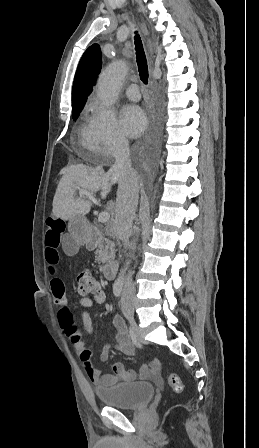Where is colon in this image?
Segmentation results:
<instances>
[{"label": "colon", "instance_id": "obj_1", "mask_svg": "<svg viewBox=\"0 0 259 448\" xmlns=\"http://www.w3.org/2000/svg\"><path fill=\"white\" fill-rule=\"evenodd\" d=\"M77 282L78 293L82 296H94L102 291L100 281L90 271H82L77 277ZM168 381L173 391L182 390V382L178 374L170 373Z\"/></svg>", "mask_w": 259, "mask_h": 448}]
</instances>
